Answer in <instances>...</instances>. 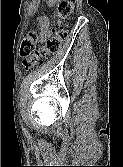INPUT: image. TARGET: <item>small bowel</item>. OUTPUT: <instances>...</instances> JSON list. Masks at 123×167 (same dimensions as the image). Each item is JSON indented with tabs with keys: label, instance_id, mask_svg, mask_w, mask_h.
<instances>
[{
	"label": "small bowel",
	"instance_id": "obj_1",
	"mask_svg": "<svg viewBox=\"0 0 123 167\" xmlns=\"http://www.w3.org/2000/svg\"><path fill=\"white\" fill-rule=\"evenodd\" d=\"M39 25H40L39 38H40V41L43 42L51 35L49 18L47 16L40 17Z\"/></svg>",
	"mask_w": 123,
	"mask_h": 167
}]
</instances>
